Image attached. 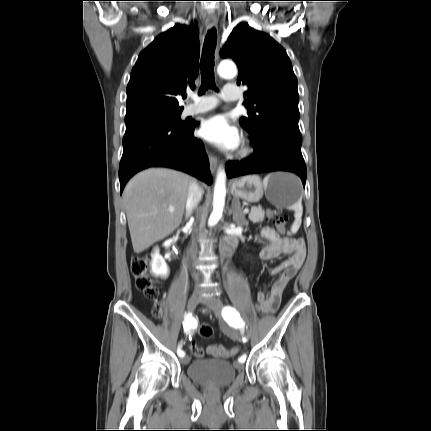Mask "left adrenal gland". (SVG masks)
<instances>
[{
  "label": "left adrenal gland",
  "instance_id": "1",
  "mask_svg": "<svg viewBox=\"0 0 431 431\" xmlns=\"http://www.w3.org/2000/svg\"><path fill=\"white\" fill-rule=\"evenodd\" d=\"M230 212L233 213V221L235 223L240 225L246 224L245 217L242 214V209L240 207V202L238 200H234L232 202V208Z\"/></svg>",
  "mask_w": 431,
  "mask_h": 431
}]
</instances>
